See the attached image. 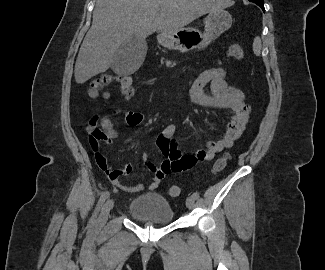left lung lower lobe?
<instances>
[{"label": "left lung lower lobe", "mask_w": 325, "mask_h": 270, "mask_svg": "<svg viewBox=\"0 0 325 270\" xmlns=\"http://www.w3.org/2000/svg\"><path fill=\"white\" fill-rule=\"evenodd\" d=\"M251 2L256 3V4H257L258 6H260V7L262 8V10L265 12L263 1H251Z\"/></svg>", "instance_id": "0a47b994"}]
</instances>
